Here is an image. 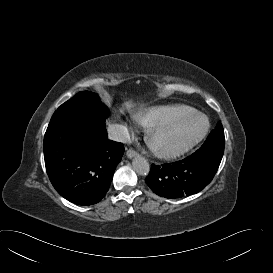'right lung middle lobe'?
I'll return each mask as SVG.
<instances>
[{"mask_svg": "<svg viewBox=\"0 0 273 273\" xmlns=\"http://www.w3.org/2000/svg\"><path fill=\"white\" fill-rule=\"evenodd\" d=\"M76 114L88 118H96L105 121L109 110L101 102L97 94L91 91L77 93L72 99L62 104L54 114L59 113Z\"/></svg>", "mask_w": 273, "mask_h": 273, "instance_id": "1", "label": "right lung middle lobe"}]
</instances>
